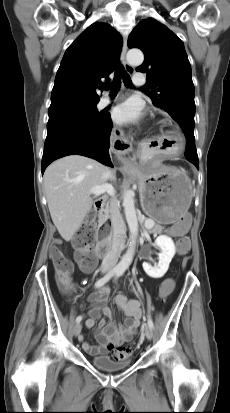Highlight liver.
<instances>
[{
	"label": "liver",
	"mask_w": 230,
	"mask_h": 413,
	"mask_svg": "<svg viewBox=\"0 0 230 413\" xmlns=\"http://www.w3.org/2000/svg\"><path fill=\"white\" fill-rule=\"evenodd\" d=\"M108 168L98 161L69 155L50 164L44 173V189L54 225L65 241L80 229L92 207L90 190L106 184Z\"/></svg>",
	"instance_id": "liver-1"
}]
</instances>
